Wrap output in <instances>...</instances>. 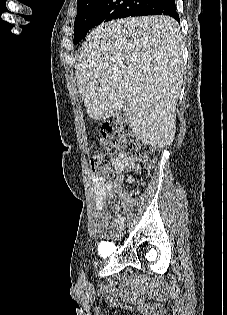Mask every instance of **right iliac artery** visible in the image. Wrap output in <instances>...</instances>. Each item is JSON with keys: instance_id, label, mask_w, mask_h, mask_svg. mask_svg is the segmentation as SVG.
I'll return each instance as SVG.
<instances>
[{"instance_id": "obj_1", "label": "right iliac artery", "mask_w": 227, "mask_h": 315, "mask_svg": "<svg viewBox=\"0 0 227 315\" xmlns=\"http://www.w3.org/2000/svg\"><path fill=\"white\" fill-rule=\"evenodd\" d=\"M124 222V218L122 217H119L117 220H116V223L118 224H122Z\"/></svg>"}]
</instances>
